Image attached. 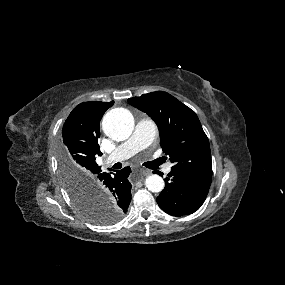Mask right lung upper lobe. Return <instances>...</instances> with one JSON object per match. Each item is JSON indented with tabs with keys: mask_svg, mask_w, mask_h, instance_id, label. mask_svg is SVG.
<instances>
[{
	"mask_svg": "<svg viewBox=\"0 0 285 285\" xmlns=\"http://www.w3.org/2000/svg\"><path fill=\"white\" fill-rule=\"evenodd\" d=\"M113 104V101L81 103L74 108L63 125L61 148L85 181H91L101 171L95 161L97 155H102L98 145L99 123L105 111Z\"/></svg>",
	"mask_w": 285,
	"mask_h": 285,
	"instance_id": "1",
	"label": "right lung upper lobe"
}]
</instances>
